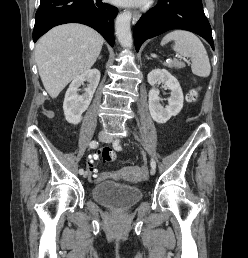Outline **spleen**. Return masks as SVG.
Segmentation results:
<instances>
[{
  "label": "spleen",
  "instance_id": "1",
  "mask_svg": "<svg viewBox=\"0 0 248 258\" xmlns=\"http://www.w3.org/2000/svg\"><path fill=\"white\" fill-rule=\"evenodd\" d=\"M170 41H174V51L191 59V70L194 75L199 77H208L210 75L211 66L207 51L201 40L194 33L185 30H174L164 36L161 45L163 46Z\"/></svg>",
  "mask_w": 248,
  "mask_h": 258
}]
</instances>
